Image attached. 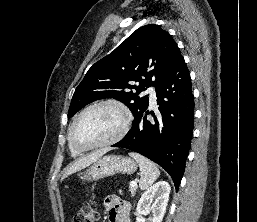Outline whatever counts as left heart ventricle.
Returning a JSON list of instances; mask_svg holds the SVG:
<instances>
[{
	"instance_id": "b2bd125f",
	"label": "left heart ventricle",
	"mask_w": 257,
	"mask_h": 222,
	"mask_svg": "<svg viewBox=\"0 0 257 222\" xmlns=\"http://www.w3.org/2000/svg\"><path fill=\"white\" fill-rule=\"evenodd\" d=\"M122 113L112 106H102L87 112L78 121L74 138L81 146H91L113 137L121 128Z\"/></svg>"
}]
</instances>
